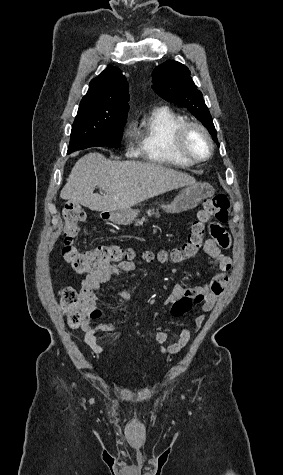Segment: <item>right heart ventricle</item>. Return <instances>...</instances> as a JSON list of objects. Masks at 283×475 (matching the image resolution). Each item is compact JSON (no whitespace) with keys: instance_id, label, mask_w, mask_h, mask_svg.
Returning <instances> with one entry per match:
<instances>
[{"instance_id":"1","label":"right heart ventricle","mask_w":283,"mask_h":475,"mask_svg":"<svg viewBox=\"0 0 283 475\" xmlns=\"http://www.w3.org/2000/svg\"><path fill=\"white\" fill-rule=\"evenodd\" d=\"M184 122L185 117L168 106L156 107L148 116L136 122L133 133L140 158L154 163L165 162L161 147L165 145L166 150V146L172 144V133Z\"/></svg>"}]
</instances>
